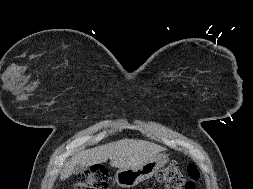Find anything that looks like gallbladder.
<instances>
[{
    "label": "gallbladder",
    "mask_w": 253,
    "mask_h": 189,
    "mask_svg": "<svg viewBox=\"0 0 253 189\" xmlns=\"http://www.w3.org/2000/svg\"><path fill=\"white\" fill-rule=\"evenodd\" d=\"M85 169H86V167H84V166L76 165L73 169V174H78V173L84 172Z\"/></svg>",
    "instance_id": "gallbladder-1"
}]
</instances>
